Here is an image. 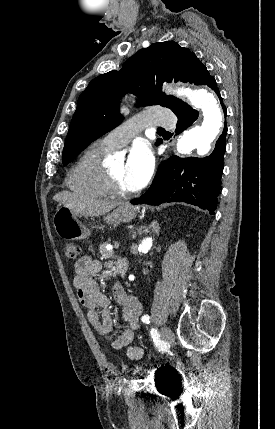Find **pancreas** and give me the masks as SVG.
Listing matches in <instances>:
<instances>
[{
    "label": "pancreas",
    "mask_w": 275,
    "mask_h": 429,
    "mask_svg": "<svg viewBox=\"0 0 275 429\" xmlns=\"http://www.w3.org/2000/svg\"><path fill=\"white\" fill-rule=\"evenodd\" d=\"M106 243H103V244H101L100 245V248H99V250H100V254L102 255V257L103 258H105V259H107V258H111V257H113L114 256V254H115V252L114 251H111V250H108L107 248H106Z\"/></svg>",
    "instance_id": "cf45deb5"
}]
</instances>
